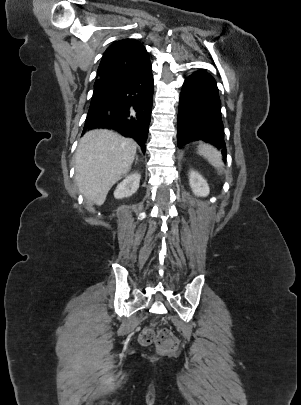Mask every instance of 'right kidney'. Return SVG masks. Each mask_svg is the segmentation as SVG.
Returning a JSON list of instances; mask_svg holds the SVG:
<instances>
[{"mask_svg":"<svg viewBox=\"0 0 301 405\" xmlns=\"http://www.w3.org/2000/svg\"><path fill=\"white\" fill-rule=\"evenodd\" d=\"M140 174L138 172L128 175L120 184L117 185L114 191V197L116 199H122L132 196L140 184Z\"/></svg>","mask_w":301,"mask_h":405,"instance_id":"right-kidney-1","label":"right kidney"}]
</instances>
